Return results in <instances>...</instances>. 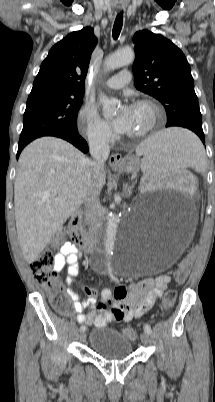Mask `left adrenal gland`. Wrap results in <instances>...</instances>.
Wrapping results in <instances>:
<instances>
[{"label": "left adrenal gland", "mask_w": 215, "mask_h": 402, "mask_svg": "<svg viewBox=\"0 0 215 402\" xmlns=\"http://www.w3.org/2000/svg\"><path fill=\"white\" fill-rule=\"evenodd\" d=\"M134 188V184L131 186H128L127 184L124 185V194L126 195V197H130L132 195V190Z\"/></svg>", "instance_id": "1"}]
</instances>
